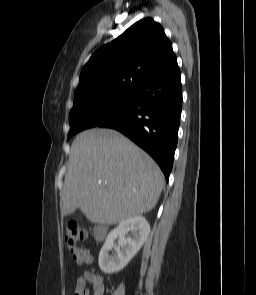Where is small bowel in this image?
Listing matches in <instances>:
<instances>
[{
	"instance_id": "small-bowel-1",
	"label": "small bowel",
	"mask_w": 256,
	"mask_h": 295,
	"mask_svg": "<svg viewBox=\"0 0 256 295\" xmlns=\"http://www.w3.org/2000/svg\"><path fill=\"white\" fill-rule=\"evenodd\" d=\"M92 285L93 295H104L105 287L103 284V277L94 269L85 271L76 282L75 292H81L82 295H88L89 290L86 283Z\"/></svg>"
}]
</instances>
